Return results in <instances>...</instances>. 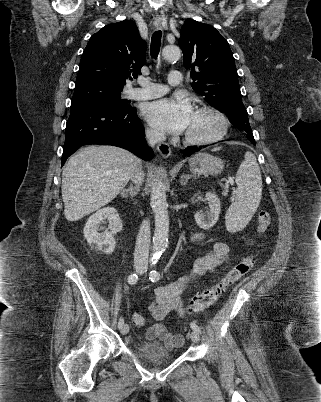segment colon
<instances>
[{
    "label": "colon",
    "mask_w": 321,
    "mask_h": 402,
    "mask_svg": "<svg viewBox=\"0 0 321 402\" xmlns=\"http://www.w3.org/2000/svg\"><path fill=\"white\" fill-rule=\"evenodd\" d=\"M271 225V216L267 211H261L257 218V230L259 234H264ZM256 254H249L244 256L239 262H237L216 284L212 285L208 289L204 290L197 297L189 302L187 311L198 312L201 311L211 304H213L220 294L233 282L238 280L240 277L247 274L253 267L256 261ZM133 322L135 325L141 327L144 325V317L135 313L133 315Z\"/></svg>",
    "instance_id": "1"
}]
</instances>
